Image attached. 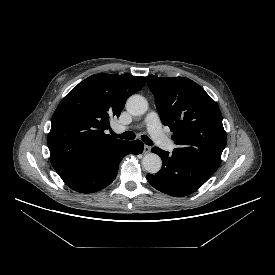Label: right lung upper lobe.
<instances>
[{
	"mask_svg": "<svg viewBox=\"0 0 275 275\" xmlns=\"http://www.w3.org/2000/svg\"><path fill=\"white\" fill-rule=\"evenodd\" d=\"M145 82V77L131 74H94L62 99L47 139L50 161L58 174L105 157L127 142L104 130Z\"/></svg>",
	"mask_w": 275,
	"mask_h": 275,
	"instance_id": "1",
	"label": "right lung upper lobe"
}]
</instances>
